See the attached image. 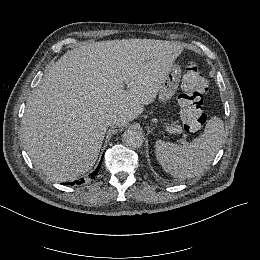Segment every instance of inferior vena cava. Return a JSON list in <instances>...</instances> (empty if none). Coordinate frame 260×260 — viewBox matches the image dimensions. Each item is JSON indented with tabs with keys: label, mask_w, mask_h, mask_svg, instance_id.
I'll list each match as a JSON object with an SVG mask.
<instances>
[{
	"label": "inferior vena cava",
	"mask_w": 260,
	"mask_h": 260,
	"mask_svg": "<svg viewBox=\"0 0 260 260\" xmlns=\"http://www.w3.org/2000/svg\"><path fill=\"white\" fill-rule=\"evenodd\" d=\"M116 122H117V117H116V115H109V116L107 117V124H108V126L115 125Z\"/></svg>",
	"instance_id": "1"
}]
</instances>
